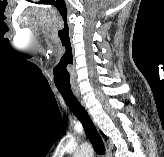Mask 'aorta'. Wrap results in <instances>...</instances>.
I'll return each instance as SVG.
<instances>
[{
  "label": "aorta",
  "instance_id": "1",
  "mask_svg": "<svg viewBox=\"0 0 164 157\" xmlns=\"http://www.w3.org/2000/svg\"><path fill=\"white\" fill-rule=\"evenodd\" d=\"M74 157H93V148L90 144L84 143L75 153Z\"/></svg>",
  "mask_w": 164,
  "mask_h": 157
}]
</instances>
